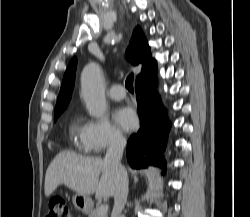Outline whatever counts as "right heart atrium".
<instances>
[{
  "label": "right heart atrium",
  "mask_w": 250,
  "mask_h": 217,
  "mask_svg": "<svg viewBox=\"0 0 250 217\" xmlns=\"http://www.w3.org/2000/svg\"><path fill=\"white\" fill-rule=\"evenodd\" d=\"M83 139L88 151L101 154L125 142L124 134L106 117L91 119L84 124Z\"/></svg>",
  "instance_id": "obj_1"
}]
</instances>
